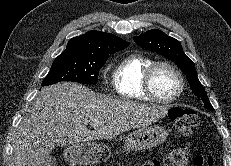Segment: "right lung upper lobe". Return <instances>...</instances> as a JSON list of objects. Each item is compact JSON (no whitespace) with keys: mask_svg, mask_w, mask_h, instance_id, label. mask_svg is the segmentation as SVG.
<instances>
[{"mask_svg":"<svg viewBox=\"0 0 231 166\" xmlns=\"http://www.w3.org/2000/svg\"><path fill=\"white\" fill-rule=\"evenodd\" d=\"M129 44L113 34L92 30L70 39L64 52L94 57L106 56L125 49Z\"/></svg>","mask_w":231,"mask_h":166,"instance_id":"right-lung-upper-lobe-1","label":"right lung upper lobe"}]
</instances>
